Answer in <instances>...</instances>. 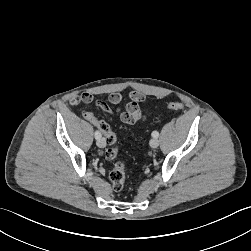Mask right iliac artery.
<instances>
[{
    "label": "right iliac artery",
    "mask_w": 251,
    "mask_h": 251,
    "mask_svg": "<svg viewBox=\"0 0 251 251\" xmlns=\"http://www.w3.org/2000/svg\"><path fill=\"white\" fill-rule=\"evenodd\" d=\"M95 138H96V139L101 138V133H100L99 131H96V132H95Z\"/></svg>",
    "instance_id": "obj_1"
}]
</instances>
